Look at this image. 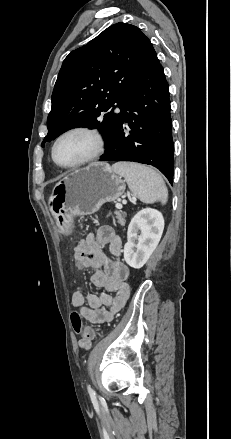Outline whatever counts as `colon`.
Returning a JSON list of instances; mask_svg holds the SVG:
<instances>
[{"instance_id": "colon-1", "label": "colon", "mask_w": 231, "mask_h": 439, "mask_svg": "<svg viewBox=\"0 0 231 439\" xmlns=\"http://www.w3.org/2000/svg\"><path fill=\"white\" fill-rule=\"evenodd\" d=\"M84 259L81 256L76 257L73 262V269L76 270L77 273L85 272V265L83 264ZM71 324L74 331L77 334H80L83 339L87 341H92L95 338V330L91 326H84L81 320L80 315L77 312H73L71 314Z\"/></svg>"}]
</instances>
